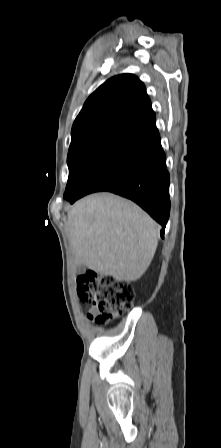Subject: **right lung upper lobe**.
<instances>
[{"label": "right lung upper lobe", "instance_id": "obj_1", "mask_svg": "<svg viewBox=\"0 0 221 448\" xmlns=\"http://www.w3.org/2000/svg\"><path fill=\"white\" fill-rule=\"evenodd\" d=\"M155 119L144 84L132 74L103 83L74 121L69 151L93 143H118Z\"/></svg>", "mask_w": 221, "mask_h": 448}]
</instances>
